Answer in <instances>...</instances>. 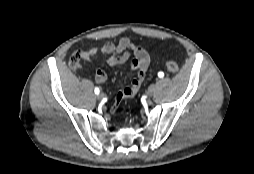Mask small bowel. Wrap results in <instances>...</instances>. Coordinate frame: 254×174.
I'll use <instances>...</instances> for the list:
<instances>
[{
    "instance_id": "obj_1",
    "label": "small bowel",
    "mask_w": 254,
    "mask_h": 174,
    "mask_svg": "<svg viewBox=\"0 0 254 174\" xmlns=\"http://www.w3.org/2000/svg\"><path fill=\"white\" fill-rule=\"evenodd\" d=\"M100 54L108 56L107 63L110 66L124 64L133 55L130 60V68L136 74L129 85L118 91L116 100L112 105V110H115L121 100L131 98L139 91L150 62V56L145 49L134 45L127 37L120 39L117 43L109 41L101 46L91 47L84 51L85 60ZM106 79L107 75L104 70L97 69L95 71V80L98 83H104Z\"/></svg>"
}]
</instances>
